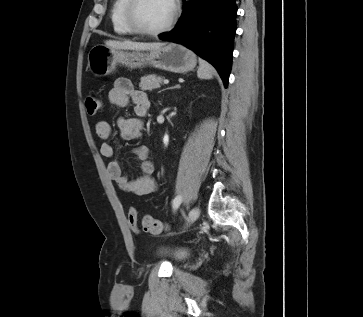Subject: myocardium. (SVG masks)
Returning <instances> with one entry per match:
<instances>
[{"label":"myocardium","instance_id":"1","mask_svg":"<svg viewBox=\"0 0 363 317\" xmlns=\"http://www.w3.org/2000/svg\"><path fill=\"white\" fill-rule=\"evenodd\" d=\"M140 0H127L124 7V21L127 27L135 34L145 37H156L168 32L174 25L178 15V4L176 0H171L172 12L168 21L160 28L148 30L141 27L136 20V8Z\"/></svg>","mask_w":363,"mask_h":317}]
</instances>
